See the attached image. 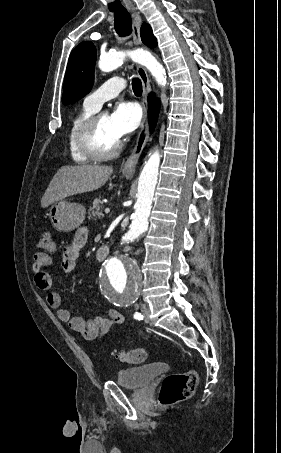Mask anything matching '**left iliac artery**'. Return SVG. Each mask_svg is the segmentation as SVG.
<instances>
[{
	"label": "left iliac artery",
	"mask_w": 281,
	"mask_h": 453,
	"mask_svg": "<svg viewBox=\"0 0 281 453\" xmlns=\"http://www.w3.org/2000/svg\"><path fill=\"white\" fill-rule=\"evenodd\" d=\"M134 318L138 320H143V315H141V313L136 312Z\"/></svg>",
	"instance_id": "left-iliac-artery-1"
}]
</instances>
